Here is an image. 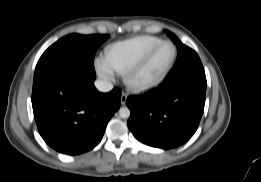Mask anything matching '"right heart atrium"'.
Masks as SVG:
<instances>
[{
	"instance_id": "1",
	"label": "right heart atrium",
	"mask_w": 261,
	"mask_h": 182,
	"mask_svg": "<svg viewBox=\"0 0 261 182\" xmlns=\"http://www.w3.org/2000/svg\"><path fill=\"white\" fill-rule=\"evenodd\" d=\"M95 66H96V69H97L99 75L105 81L111 82V81L114 80L115 71L113 70V68L109 64L106 57H103V56L97 57L96 60H95Z\"/></svg>"
}]
</instances>
